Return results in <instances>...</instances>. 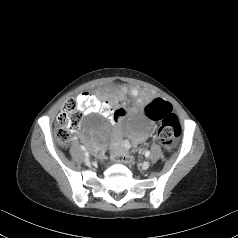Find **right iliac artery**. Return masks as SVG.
I'll list each match as a JSON object with an SVG mask.
<instances>
[{"mask_svg":"<svg viewBox=\"0 0 238 238\" xmlns=\"http://www.w3.org/2000/svg\"><path fill=\"white\" fill-rule=\"evenodd\" d=\"M80 147H81V149H82L83 151L86 150V148H85L83 145H81Z\"/></svg>","mask_w":238,"mask_h":238,"instance_id":"1","label":"right iliac artery"}]
</instances>
